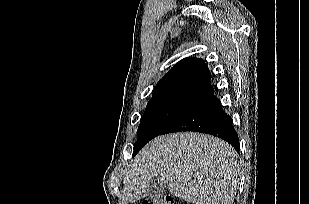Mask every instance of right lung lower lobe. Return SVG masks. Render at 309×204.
<instances>
[{"label":"right lung lower lobe","instance_id":"obj_1","mask_svg":"<svg viewBox=\"0 0 309 204\" xmlns=\"http://www.w3.org/2000/svg\"><path fill=\"white\" fill-rule=\"evenodd\" d=\"M181 131H196L217 136L239 152V139L232 119L223 111L221 102L216 97L193 107L171 123L160 135Z\"/></svg>","mask_w":309,"mask_h":204}]
</instances>
